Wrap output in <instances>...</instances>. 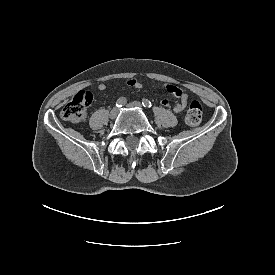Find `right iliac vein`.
<instances>
[{
  "mask_svg": "<svg viewBox=\"0 0 275 275\" xmlns=\"http://www.w3.org/2000/svg\"><path fill=\"white\" fill-rule=\"evenodd\" d=\"M117 114H118V109H117V108H113V109L111 110L109 116H110L111 119H115L116 116H117Z\"/></svg>",
  "mask_w": 275,
  "mask_h": 275,
  "instance_id": "1",
  "label": "right iliac vein"
}]
</instances>
